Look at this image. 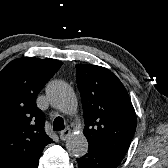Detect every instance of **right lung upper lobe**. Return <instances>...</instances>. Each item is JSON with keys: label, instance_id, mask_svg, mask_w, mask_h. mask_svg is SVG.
Wrapping results in <instances>:
<instances>
[{"label": "right lung upper lobe", "instance_id": "cb5924a9", "mask_svg": "<svg viewBox=\"0 0 168 168\" xmlns=\"http://www.w3.org/2000/svg\"><path fill=\"white\" fill-rule=\"evenodd\" d=\"M62 63L24 57L0 72V168H37L51 139L36 98Z\"/></svg>", "mask_w": 168, "mask_h": 168}]
</instances>
